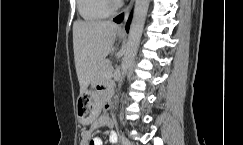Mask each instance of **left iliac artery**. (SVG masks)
Segmentation results:
<instances>
[{"label":"left iliac artery","instance_id":"1","mask_svg":"<svg viewBox=\"0 0 243 145\" xmlns=\"http://www.w3.org/2000/svg\"><path fill=\"white\" fill-rule=\"evenodd\" d=\"M121 139H122L123 145H127L128 139L125 136H123V135L121 136Z\"/></svg>","mask_w":243,"mask_h":145}]
</instances>
